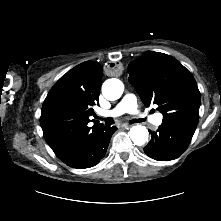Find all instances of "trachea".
<instances>
[{"label":"trachea","instance_id":"3493384b","mask_svg":"<svg viewBox=\"0 0 221 221\" xmlns=\"http://www.w3.org/2000/svg\"><path fill=\"white\" fill-rule=\"evenodd\" d=\"M138 121L142 122V121H144V120H139V119H138ZM113 123H114V120H113L112 118H106V119H105V124H106V125H112Z\"/></svg>","mask_w":221,"mask_h":221}]
</instances>
